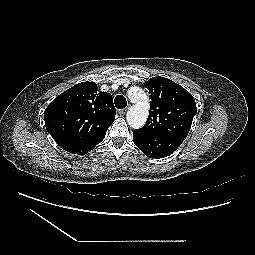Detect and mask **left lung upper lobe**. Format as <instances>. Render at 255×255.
<instances>
[{
  "label": "left lung upper lobe",
  "mask_w": 255,
  "mask_h": 255,
  "mask_svg": "<svg viewBox=\"0 0 255 255\" xmlns=\"http://www.w3.org/2000/svg\"><path fill=\"white\" fill-rule=\"evenodd\" d=\"M146 88L151 99L149 117L146 124L134 133L185 139L197 113L194 97L182 86L164 77H152Z\"/></svg>",
  "instance_id": "left-lung-upper-lobe-1"
}]
</instances>
